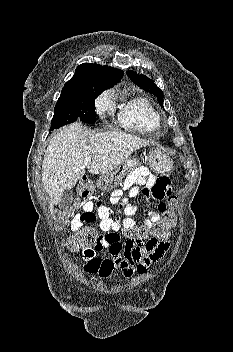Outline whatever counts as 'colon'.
<instances>
[{"mask_svg":"<svg viewBox=\"0 0 233 352\" xmlns=\"http://www.w3.org/2000/svg\"><path fill=\"white\" fill-rule=\"evenodd\" d=\"M177 206V199L171 197L167 205L165 204L160 208L161 218L151 229L125 230L124 235L127 243L137 246L155 247L168 242L170 231L177 223ZM67 222V215L61 214L57 218L56 227L63 229ZM102 239L103 236H100L95 228L86 226L65 239L64 246L72 252H78L96 247Z\"/></svg>","mask_w":233,"mask_h":352,"instance_id":"5ec220e1","label":"colon"}]
</instances>
